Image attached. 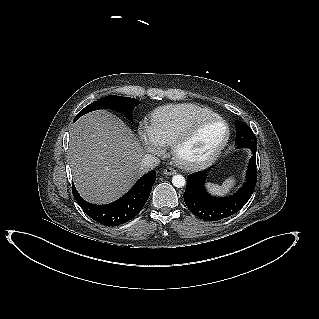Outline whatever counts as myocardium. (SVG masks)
Listing matches in <instances>:
<instances>
[{"instance_id": "obj_1", "label": "myocardium", "mask_w": 319, "mask_h": 319, "mask_svg": "<svg viewBox=\"0 0 319 319\" xmlns=\"http://www.w3.org/2000/svg\"><path fill=\"white\" fill-rule=\"evenodd\" d=\"M213 121H218L223 124L225 132L223 135V138L221 141L213 148V150L206 156L198 159H186L184 158L180 151L182 147L187 144L192 138L196 135V133L199 131V129ZM231 131L229 124L226 120H224L222 117H220L217 114L206 116L199 118L195 121H193L172 143L171 146V152L172 157L176 164H178L180 167L187 169V170H199L203 169L205 167H208L212 163H214L217 158L220 156L226 145L228 144V141L230 139Z\"/></svg>"}]
</instances>
